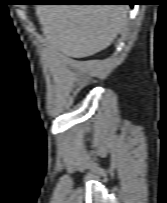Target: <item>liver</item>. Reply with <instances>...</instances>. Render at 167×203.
Instances as JSON below:
<instances>
[{
  "instance_id": "6515ba94",
  "label": "liver",
  "mask_w": 167,
  "mask_h": 203,
  "mask_svg": "<svg viewBox=\"0 0 167 203\" xmlns=\"http://www.w3.org/2000/svg\"><path fill=\"white\" fill-rule=\"evenodd\" d=\"M36 13L50 47L74 58L106 49L127 24L124 5H38Z\"/></svg>"
}]
</instances>
